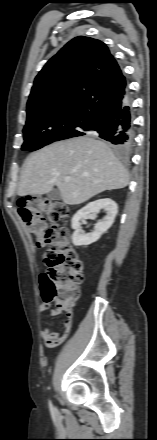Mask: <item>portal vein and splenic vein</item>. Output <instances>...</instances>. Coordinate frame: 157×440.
I'll use <instances>...</instances> for the list:
<instances>
[{"instance_id": "obj_1", "label": "portal vein and splenic vein", "mask_w": 157, "mask_h": 440, "mask_svg": "<svg viewBox=\"0 0 157 440\" xmlns=\"http://www.w3.org/2000/svg\"><path fill=\"white\" fill-rule=\"evenodd\" d=\"M65 181H66V182H69V181H70V179H69V178H67V179H65Z\"/></svg>"}]
</instances>
